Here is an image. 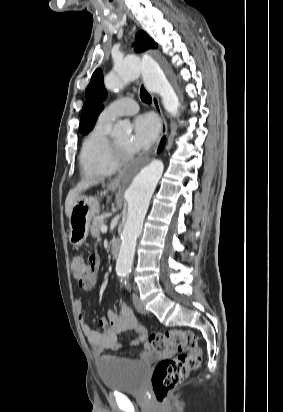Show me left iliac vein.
<instances>
[{"mask_svg":"<svg viewBox=\"0 0 283 412\" xmlns=\"http://www.w3.org/2000/svg\"><path fill=\"white\" fill-rule=\"evenodd\" d=\"M132 298H133L134 306L137 309V311H139L142 314H147L148 311L145 308V306L143 305V303L140 300L139 296L136 293H133Z\"/></svg>","mask_w":283,"mask_h":412,"instance_id":"4c4485c4","label":"left iliac vein"}]
</instances>
